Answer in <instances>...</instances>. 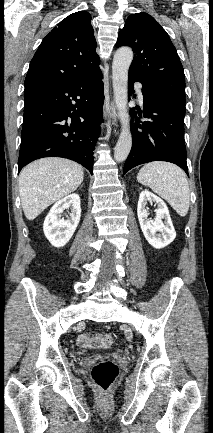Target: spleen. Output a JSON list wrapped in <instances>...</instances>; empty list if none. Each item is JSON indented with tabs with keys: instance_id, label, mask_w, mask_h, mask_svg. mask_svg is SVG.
<instances>
[{
	"instance_id": "3e777b00",
	"label": "spleen",
	"mask_w": 213,
	"mask_h": 433,
	"mask_svg": "<svg viewBox=\"0 0 213 433\" xmlns=\"http://www.w3.org/2000/svg\"><path fill=\"white\" fill-rule=\"evenodd\" d=\"M137 180L164 198L180 216H186L190 189L186 175L179 167L171 163L151 162L140 169Z\"/></svg>"
}]
</instances>
